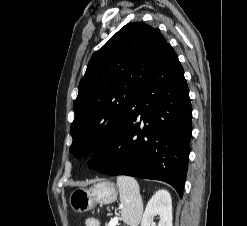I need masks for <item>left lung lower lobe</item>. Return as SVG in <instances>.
Listing matches in <instances>:
<instances>
[{"label":"left lung lower lobe","mask_w":247,"mask_h":226,"mask_svg":"<svg viewBox=\"0 0 247 226\" xmlns=\"http://www.w3.org/2000/svg\"><path fill=\"white\" fill-rule=\"evenodd\" d=\"M191 119L184 71L167 43L117 136L89 166L111 176L164 181L182 197L190 153Z\"/></svg>","instance_id":"1"}]
</instances>
